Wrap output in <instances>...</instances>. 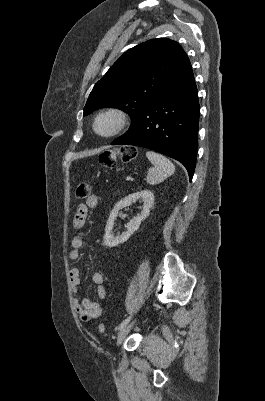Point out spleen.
<instances>
[{
    "label": "spleen",
    "instance_id": "obj_1",
    "mask_svg": "<svg viewBox=\"0 0 265 401\" xmlns=\"http://www.w3.org/2000/svg\"><path fill=\"white\" fill-rule=\"evenodd\" d=\"M146 156L154 164L147 172L146 180L148 184H159V182L173 174L175 166L169 158H166L163 154H158V152H153V150H147Z\"/></svg>",
    "mask_w": 265,
    "mask_h": 401
}]
</instances>
